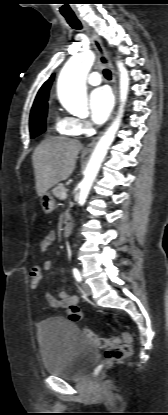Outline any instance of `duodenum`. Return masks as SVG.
<instances>
[{
  "instance_id": "1",
  "label": "duodenum",
  "mask_w": 168,
  "mask_h": 415,
  "mask_svg": "<svg viewBox=\"0 0 168 415\" xmlns=\"http://www.w3.org/2000/svg\"><path fill=\"white\" fill-rule=\"evenodd\" d=\"M72 226L73 225H72L71 221L66 222L63 229H62L63 234H65V235L69 234L72 230Z\"/></svg>"
}]
</instances>
